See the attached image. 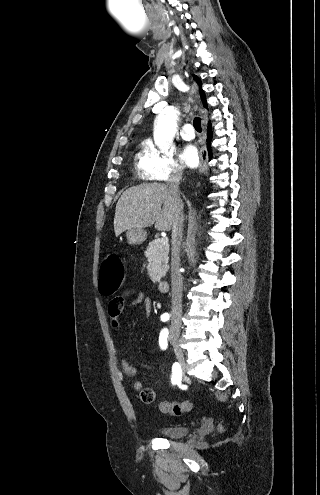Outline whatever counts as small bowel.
I'll list each match as a JSON object with an SVG mask.
<instances>
[{
	"label": "small bowel",
	"instance_id": "c3829d8e",
	"mask_svg": "<svg viewBox=\"0 0 320 495\" xmlns=\"http://www.w3.org/2000/svg\"><path fill=\"white\" fill-rule=\"evenodd\" d=\"M121 295H125L123 300L119 298ZM121 295L113 297L108 306L109 319L114 328L120 326L122 313L126 308L143 305L147 315L152 312V300L145 293L141 291H127ZM129 295H133V298L127 302L126 300ZM121 367L128 376H135L137 374V369L126 358L121 359ZM133 388L136 391H141L142 383L135 381L133 383Z\"/></svg>",
	"mask_w": 320,
	"mask_h": 495
}]
</instances>
